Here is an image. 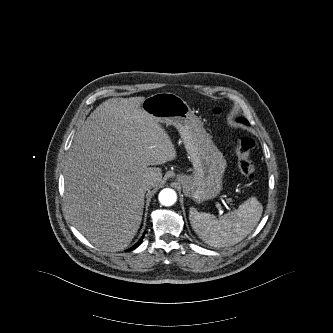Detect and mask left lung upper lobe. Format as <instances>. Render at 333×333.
Segmentation results:
<instances>
[{"mask_svg":"<svg viewBox=\"0 0 333 333\" xmlns=\"http://www.w3.org/2000/svg\"><path fill=\"white\" fill-rule=\"evenodd\" d=\"M239 121L242 122V123L248 124V121L244 118H240Z\"/></svg>","mask_w":333,"mask_h":333,"instance_id":"5c2ea615","label":"left lung upper lobe"}]
</instances>
